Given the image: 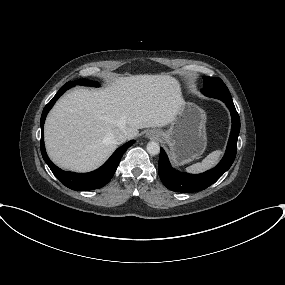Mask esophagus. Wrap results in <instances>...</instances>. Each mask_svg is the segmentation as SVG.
<instances>
[{
    "label": "esophagus",
    "instance_id": "obj_1",
    "mask_svg": "<svg viewBox=\"0 0 285 285\" xmlns=\"http://www.w3.org/2000/svg\"><path fill=\"white\" fill-rule=\"evenodd\" d=\"M147 136L151 139L157 138L158 137V133L156 131H149L147 133Z\"/></svg>",
    "mask_w": 285,
    "mask_h": 285
}]
</instances>
